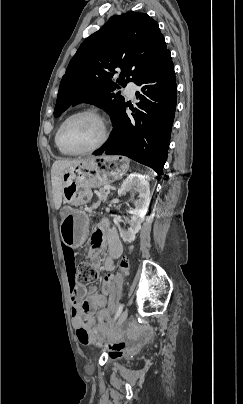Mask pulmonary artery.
Masks as SVG:
<instances>
[{"mask_svg":"<svg viewBox=\"0 0 243 404\" xmlns=\"http://www.w3.org/2000/svg\"><path fill=\"white\" fill-rule=\"evenodd\" d=\"M139 90V87L135 83H127L124 88V93L127 97L134 100L136 92Z\"/></svg>","mask_w":243,"mask_h":404,"instance_id":"pulmonary-artery-1","label":"pulmonary artery"}]
</instances>
